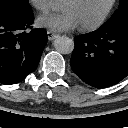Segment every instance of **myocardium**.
<instances>
[{
  "label": "myocardium",
  "instance_id": "myocardium-1",
  "mask_svg": "<svg viewBox=\"0 0 128 128\" xmlns=\"http://www.w3.org/2000/svg\"><path fill=\"white\" fill-rule=\"evenodd\" d=\"M116 3H117V0H110L109 5L107 6L105 11L101 14V16L96 21L90 24L80 25V29L82 31H91V30L99 28L107 20V18L113 11Z\"/></svg>",
  "mask_w": 128,
  "mask_h": 128
}]
</instances>
